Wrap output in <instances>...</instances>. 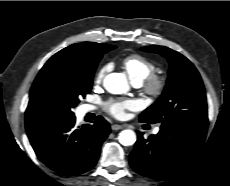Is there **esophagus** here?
<instances>
[{
    "mask_svg": "<svg viewBox=\"0 0 230 186\" xmlns=\"http://www.w3.org/2000/svg\"><path fill=\"white\" fill-rule=\"evenodd\" d=\"M124 128V125H119V124H114L111 126V129L113 131H117V130H120V129H123Z\"/></svg>",
    "mask_w": 230,
    "mask_h": 186,
    "instance_id": "34e87169",
    "label": "esophagus"
}]
</instances>
